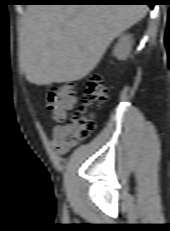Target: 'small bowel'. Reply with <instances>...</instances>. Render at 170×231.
Here are the masks:
<instances>
[{
  "label": "small bowel",
  "instance_id": "c3829d8e",
  "mask_svg": "<svg viewBox=\"0 0 170 231\" xmlns=\"http://www.w3.org/2000/svg\"><path fill=\"white\" fill-rule=\"evenodd\" d=\"M51 147L58 155L66 154L71 146L68 145L63 137V128L60 125L54 126L51 130Z\"/></svg>",
  "mask_w": 170,
  "mask_h": 231
}]
</instances>
